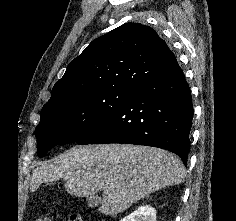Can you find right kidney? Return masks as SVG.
Wrapping results in <instances>:
<instances>
[{"label":"right kidney","instance_id":"ca27d5eb","mask_svg":"<svg viewBox=\"0 0 236 221\" xmlns=\"http://www.w3.org/2000/svg\"><path fill=\"white\" fill-rule=\"evenodd\" d=\"M121 221H156V209L150 205L140 206Z\"/></svg>","mask_w":236,"mask_h":221}]
</instances>
